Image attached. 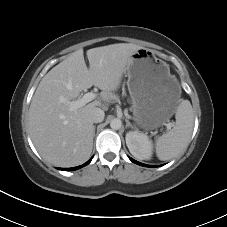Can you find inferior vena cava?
I'll return each mask as SVG.
<instances>
[{
    "instance_id": "602c4592",
    "label": "inferior vena cava",
    "mask_w": 227,
    "mask_h": 227,
    "mask_svg": "<svg viewBox=\"0 0 227 227\" xmlns=\"http://www.w3.org/2000/svg\"><path fill=\"white\" fill-rule=\"evenodd\" d=\"M105 116V113L102 109L100 108H94L91 112V121L93 123H100L103 121Z\"/></svg>"
}]
</instances>
